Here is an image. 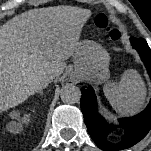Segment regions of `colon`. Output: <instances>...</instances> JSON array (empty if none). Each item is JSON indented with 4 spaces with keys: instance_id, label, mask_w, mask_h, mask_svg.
Here are the masks:
<instances>
[{
    "instance_id": "colon-1",
    "label": "colon",
    "mask_w": 151,
    "mask_h": 151,
    "mask_svg": "<svg viewBox=\"0 0 151 151\" xmlns=\"http://www.w3.org/2000/svg\"><path fill=\"white\" fill-rule=\"evenodd\" d=\"M95 26L104 31L112 41H120L125 37L124 30L104 13L98 14L94 19Z\"/></svg>"
}]
</instances>
